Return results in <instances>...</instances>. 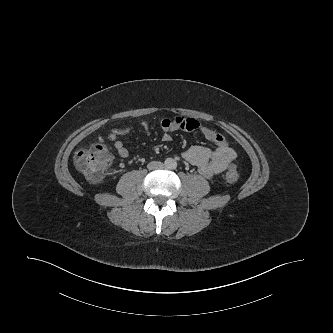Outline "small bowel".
<instances>
[{"label":"small bowel","instance_id":"1","mask_svg":"<svg viewBox=\"0 0 333 333\" xmlns=\"http://www.w3.org/2000/svg\"><path fill=\"white\" fill-rule=\"evenodd\" d=\"M142 127L149 132L148 123L144 122ZM163 139L171 140V133L176 130L199 131L204 137L214 144V149L195 145L183 153V158L192 165L198 167L199 173L208 179L223 172L236 157L235 151L230 147L228 141L215 129L208 127L193 118H165L161 121ZM131 131L130 127L113 128L108 133V139L113 142L117 154L121 158H127L129 151L124 143L119 140L120 136Z\"/></svg>","mask_w":333,"mask_h":333}]
</instances>
